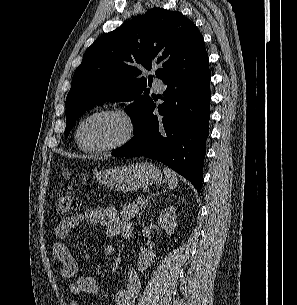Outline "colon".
Segmentation results:
<instances>
[{"mask_svg":"<svg viewBox=\"0 0 297 305\" xmlns=\"http://www.w3.org/2000/svg\"><path fill=\"white\" fill-rule=\"evenodd\" d=\"M79 207L78 201L70 190H63L57 197L54 208L55 216L61 218L75 212Z\"/></svg>","mask_w":297,"mask_h":305,"instance_id":"1","label":"colon"}]
</instances>
